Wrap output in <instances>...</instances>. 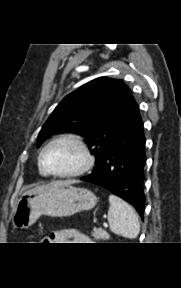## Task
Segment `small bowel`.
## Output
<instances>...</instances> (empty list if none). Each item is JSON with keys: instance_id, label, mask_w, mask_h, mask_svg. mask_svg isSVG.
Returning <instances> with one entry per match:
<instances>
[{"instance_id": "c3829d8e", "label": "small bowel", "mask_w": 181, "mask_h": 288, "mask_svg": "<svg viewBox=\"0 0 181 288\" xmlns=\"http://www.w3.org/2000/svg\"><path fill=\"white\" fill-rule=\"evenodd\" d=\"M89 238L75 229H64L50 233L48 243H88Z\"/></svg>"}]
</instances>
